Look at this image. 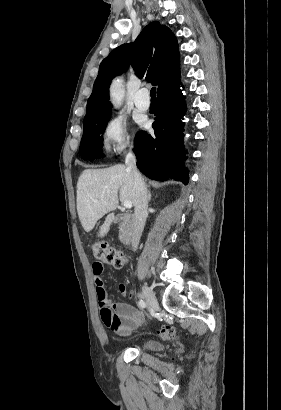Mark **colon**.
I'll use <instances>...</instances> for the list:
<instances>
[{
    "mask_svg": "<svg viewBox=\"0 0 281 410\" xmlns=\"http://www.w3.org/2000/svg\"><path fill=\"white\" fill-rule=\"evenodd\" d=\"M94 256L107 265L115 268H121L126 263V257L118 251L109 248L105 243L98 242L93 247ZM104 324L111 330L118 328L121 324L116 315L110 312H104L102 315ZM159 335L164 340H170L175 337L176 329L173 326H165L159 330Z\"/></svg>",
    "mask_w": 281,
    "mask_h": 410,
    "instance_id": "obj_1",
    "label": "colon"
}]
</instances>
